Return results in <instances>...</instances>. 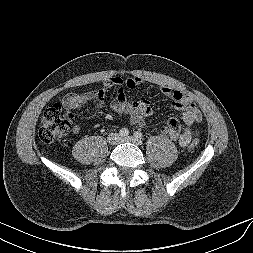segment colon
Wrapping results in <instances>:
<instances>
[{
    "label": "colon",
    "instance_id": "colon-1",
    "mask_svg": "<svg viewBox=\"0 0 253 253\" xmlns=\"http://www.w3.org/2000/svg\"><path fill=\"white\" fill-rule=\"evenodd\" d=\"M74 121V114L67 112L59 103L49 107L43 114L41 126L39 129V137L45 143L53 142L54 140L67 135ZM198 148V141L194 140L189 145L191 152Z\"/></svg>",
    "mask_w": 253,
    "mask_h": 253
}]
</instances>
